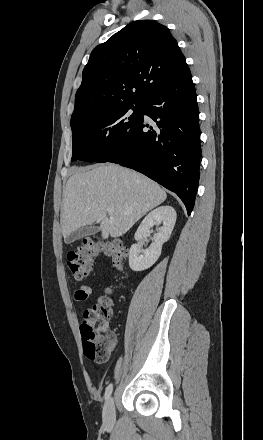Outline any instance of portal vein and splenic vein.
<instances>
[{"mask_svg": "<svg viewBox=\"0 0 263 440\" xmlns=\"http://www.w3.org/2000/svg\"><path fill=\"white\" fill-rule=\"evenodd\" d=\"M114 211V207L113 206H108L107 207V212L108 213H112Z\"/></svg>", "mask_w": 263, "mask_h": 440, "instance_id": "18ae733b", "label": "portal vein and splenic vein"}]
</instances>
